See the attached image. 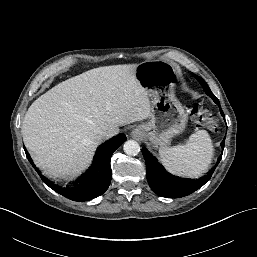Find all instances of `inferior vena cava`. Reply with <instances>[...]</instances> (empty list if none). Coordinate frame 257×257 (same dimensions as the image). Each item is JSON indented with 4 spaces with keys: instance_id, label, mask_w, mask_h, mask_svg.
Returning a JSON list of instances; mask_svg holds the SVG:
<instances>
[{
    "instance_id": "obj_1",
    "label": "inferior vena cava",
    "mask_w": 257,
    "mask_h": 257,
    "mask_svg": "<svg viewBox=\"0 0 257 257\" xmlns=\"http://www.w3.org/2000/svg\"><path fill=\"white\" fill-rule=\"evenodd\" d=\"M117 133H118L117 129L111 128V129L101 132L100 137L102 139H109V138L113 137L114 135H116Z\"/></svg>"
}]
</instances>
